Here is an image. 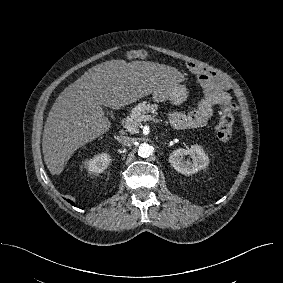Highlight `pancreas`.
Masks as SVG:
<instances>
[{"mask_svg": "<svg viewBox=\"0 0 283 283\" xmlns=\"http://www.w3.org/2000/svg\"><path fill=\"white\" fill-rule=\"evenodd\" d=\"M159 108L156 104H151L147 101L139 103L132 111L130 116L125 121V127L128 132L136 133L141 125V116L152 112L154 113Z\"/></svg>", "mask_w": 283, "mask_h": 283, "instance_id": "cf45deb5", "label": "pancreas"}]
</instances>
